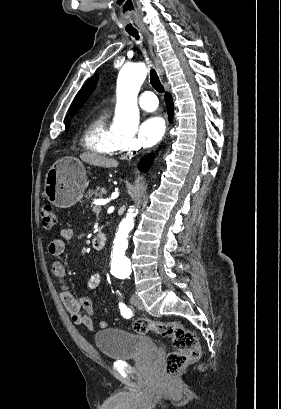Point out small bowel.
Segmentation results:
<instances>
[{"mask_svg":"<svg viewBox=\"0 0 281 409\" xmlns=\"http://www.w3.org/2000/svg\"><path fill=\"white\" fill-rule=\"evenodd\" d=\"M73 237V230L71 228H63L59 232V237L52 240L49 244V252L53 256H60L64 253L67 243ZM52 271L60 281V299L70 314L71 320L75 325L82 326L87 330H93L95 327L93 321L94 308L91 300L88 297L81 299L75 298L73 293L69 290L66 282V267L60 261L52 263ZM101 280L100 274H93L88 282L87 287L94 290L98 287ZM100 327H106V322L101 321Z\"/></svg>","mask_w":281,"mask_h":409,"instance_id":"obj_1","label":"small bowel"}]
</instances>
